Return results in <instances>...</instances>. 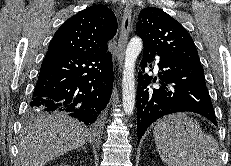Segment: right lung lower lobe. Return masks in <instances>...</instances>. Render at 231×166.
Instances as JSON below:
<instances>
[{
  "label": "right lung lower lobe",
  "mask_w": 231,
  "mask_h": 166,
  "mask_svg": "<svg viewBox=\"0 0 231 166\" xmlns=\"http://www.w3.org/2000/svg\"><path fill=\"white\" fill-rule=\"evenodd\" d=\"M113 84L111 53L75 55L47 51L30 109L65 111L95 127L110 100Z\"/></svg>",
  "instance_id": "1"
}]
</instances>
